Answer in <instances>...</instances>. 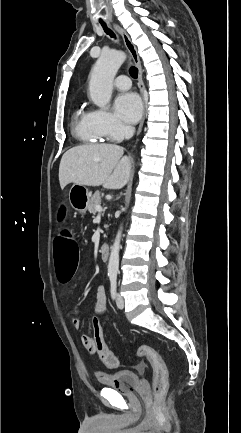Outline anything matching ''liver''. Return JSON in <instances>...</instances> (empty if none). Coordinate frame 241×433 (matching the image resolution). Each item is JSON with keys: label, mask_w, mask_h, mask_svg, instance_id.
I'll use <instances>...</instances> for the list:
<instances>
[{"label": "liver", "mask_w": 241, "mask_h": 433, "mask_svg": "<svg viewBox=\"0 0 241 433\" xmlns=\"http://www.w3.org/2000/svg\"><path fill=\"white\" fill-rule=\"evenodd\" d=\"M115 144H90L66 151L59 165L61 189L69 183L121 189L129 181L131 159Z\"/></svg>", "instance_id": "6515ba94"}]
</instances>
